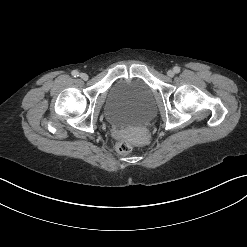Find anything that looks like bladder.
<instances>
[{"label":"bladder","instance_id":"bladder-1","mask_svg":"<svg viewBox=\"0 0 247 247\" xmlns=\"http://www.w3.org/2000/svg\"><path fill=\"white\" fill-rule=\"evenodd\" d=\"M156 111L152 88L134 78L115 82L103 106L106 120L117 127L146 124L155 117Z\"/></svg>","mask_w":247,"mask_h":247}]
</instances>
